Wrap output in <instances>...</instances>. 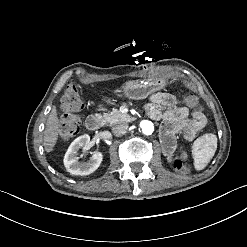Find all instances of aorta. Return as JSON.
<instances>
[{
	"mask_svg": "<svg viewBox=\"0 0 247 247\" xmlns=\"http://www.w3.org/2000/svg\"><path fill=\"white\" fill-rule=\"evenodd\" d=\"M140 128L145 135H151L154 131L153 123L148 120L141 121Z\"/></svg>",
	"mask_w": 247,
	"mask_h": 247,
	"instance_id": "1",
	"label": "aorta"
}]
</instances>
